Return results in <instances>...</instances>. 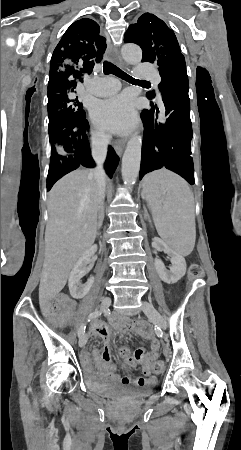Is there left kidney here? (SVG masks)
Wrapping results in <instances>:
<instances>
[{
    "label": "left kidney",
    "mask_w": 241,
    "mask_h": 450,
    "mask_svg": "<svg viewBox=\"0 0 241 450\" xmlns=\"http://www.w3.org/2000/svg\"><path fill=\"white\" fill-rule=\"evenodd\" d=\"M152 248L159 250V252H164V254H168L172 264V266H169L170 270H166L163 262L158 260V258H155L154 266L157 274H159V278H161L162 282H166V284H176L178 280L183 278L186 272L185 258L176 254V252L171 250V248H169L163 240H160V238H153Z\"/></svg>",
    "instance_id": "obj_1"
}]
</instances>
